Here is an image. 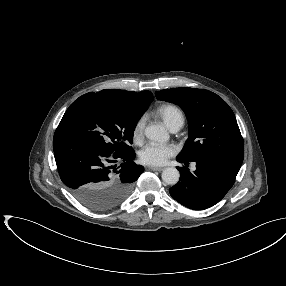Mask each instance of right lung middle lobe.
<instances>
[{
    "instance_id": "1",
    "label": "right lung middle lobe",
    "mask_w": 286,
    "mask_h": 286,
    "mask_svg": "<svg viewBox=\"0 0 286 286\" xmlns=\"http://www.w3.org/2000/svg\"><path fill=\"white\" fill-rule=\"evenodd\" d=\"M147 108L107 94L87 93L70 105L61 122L105 153L119 155L133 151V133Z\"/></svg>"
}]
</instances>
